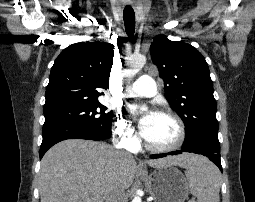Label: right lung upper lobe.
Returning a JSON list of instances; mask_svg holds the SVG:
<instances>
[{
  "label": "right lung upper lobe",
  "instance_id": "1",
  "mask_svg": "<svg viewBox=\"0 0 255 202\" xmlns=\"http://www.w3.org/2000/svg\"><path fill=\"white\" fill-rule=\"evenodd\" d=\"M113 48L112 44L101 41L80 42L65 48L50 72L44 114L98 102V96L103 93L97 88L109 86Z\"/></svg>",
  "mask_w": 255,
  "mask_h": 202
}]
</instances>
